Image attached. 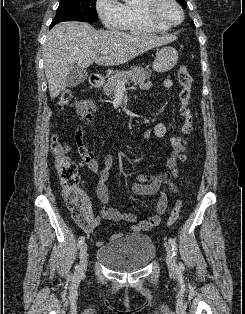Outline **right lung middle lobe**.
I'll return each instance as SVG.
<instances>
[{
	"instance_id": "dd1d6c3e",
	"label": "right lung middle lobe",
	"mask_w": 245,
	"mask_h": 314,
	"mask_svg": "<svg viewBox=\"0 0 245 314\" xmlns=\"http://www.w3.org/2000/svg\"><path fill=\"white\" fill-rule=\"evenodd\" d=\"M71 20L97 21L96 0H61L51 25Z\"/></svg>"
}]
</instances>
